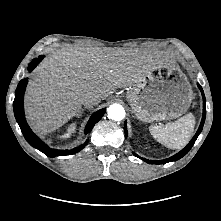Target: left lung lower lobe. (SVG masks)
<instances>
[{
  "mask_svg": "<svg viewBox=\"0 0 221 221\" xmlns=\"http://www.w3.org/2000/svg\"><path fill=\"white\" fill-rule=\"evenodd\" d=\"M198 87L202 93V96H203V116H202V120H201V123H200V126L198 128V131L196 132L195 136L192 138V140L189 142V144L183 149L181 150L179 153H177L176 155L168 158V159H165V160H156V161H150V160H147V159H144V158H141L139 157L138 155H134L137 156L138 158L146 161L147 163H151V164H165V163H168V162H172V161H176V160H179L180 158H182L184 155H186L189 150L191 149V147L194 145L197 137L199 136V134L201 133L202 131V128H203V125H204V121H205V117H206V109H205V96H204V92H203V89L202 87L198 84ZM124 131H125V135L127 136V126H126V122L124 124Z\"/></svg>",
  "mask_w": 221,
  "mask_h": 221,
  "instance_id": "1",
  "label": "left lung lower lobe"
}]
</instances>
